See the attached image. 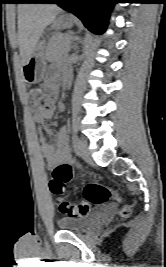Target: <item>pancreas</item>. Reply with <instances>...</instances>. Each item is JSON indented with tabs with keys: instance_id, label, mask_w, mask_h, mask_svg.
<instances>
[{
	"instance_id": "pancreas-1",
	"label": "pancreas",
	"mask_w": 166,
	"mask_h": 267,
	"mask_svg": "<svg viewBox=\"0 0 166 267\" xmlns=\"http://www.w3.org/2000/svg\"><path fill=\"white\" fill-rule=\"evenodd\" d=\"M69 46V37L61 33L53 35L48 43L45 53L46 59L51 61L67 51Z\"/></svg>"
}]
</instances>
